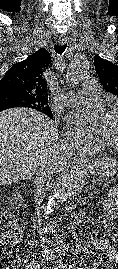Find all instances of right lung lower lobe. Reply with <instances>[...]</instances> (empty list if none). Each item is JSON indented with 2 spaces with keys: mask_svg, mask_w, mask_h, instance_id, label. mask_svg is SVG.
<instances>
[{
  "mask_svg": "<svg viewBox=\"0 0 118 269\" xmlns=\"http://www.w3.org/2000/svg\"><path fill=\"white\" fill-rule=\"evenodd\" d=\"M5 109H8V108H5ZM5 109H0V111H3V110H5Z\"/></svg>",
  "mask_w": 118,
  "mask_h": 269,
  "instance_id": "obj_1",
  "label": "right lung lower lobe"
}]
</instances>
